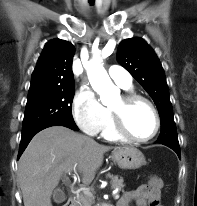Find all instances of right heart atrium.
Here are the masks:
<instances>
[{"mask_svg": "<svg viewBox=\"0 0 197 206\" xmlns=\"http://www.w3.org/2000/svg\"><path fill=\"white\" fill-rule=\"evenodd\" d=\"M72 114L82 131L88 135H96L106 120L107 109L89 87L83 86L73 98Z\"/></svg>", "mask_w": 197, "mask_h": 206, "instance_id": "d8ad5b80", "label": "right heart atrium"}]
</instances>
